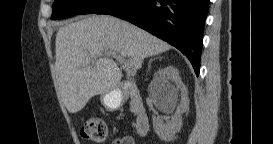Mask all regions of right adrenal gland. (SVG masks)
I'll return each mask as SVG.
<instances>
[{
  "label": "right adrenal gland",
  "mask_w": 273,
  "mask_h": 144,
  "mask_svg": "<svg viewBox=\"0 0 273 144\" xmlns=\"http://www.w3.org/2000/svg\"><path fill=\"white\" fill-rule=\"evenodd\" d=\"M152 60H153V59H151V60L149 61V68H150V63L152 62Z\"/></svg>",
  "instance_id": "obj_1"
}]
</instances>
